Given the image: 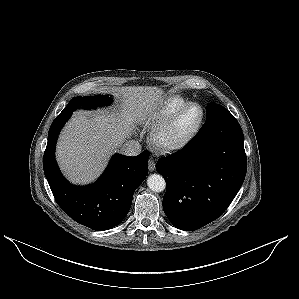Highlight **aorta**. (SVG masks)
I'll return each mask as SVG.
<instances>
[{"instance_id":"obj_1","label":"aorta","mask_w":299,"mask_h":299,"mask_svg":"<svg viewBox=\"0 0 299 299\" xmlns=\"http://www.w3.org/2000/svg\"><path fill=\"white\" fill-rule=\"evenodd\" d=\"M148 187L154 192H162L166 188L165 179L159 174H152L147 179Z\"/></svg>"}]
</instances>
